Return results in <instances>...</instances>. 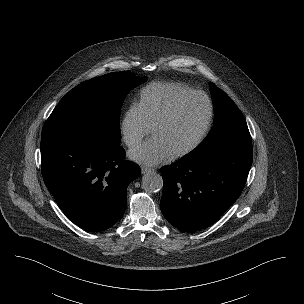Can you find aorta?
Returning a JSON list of instances; mask_svg holds the SVG:
<instances>
[{"mask_svg": "<svg viewBox=\"0 0 304 304\" xmlns=\"http://www.w3.org/2000/svg\"><path fill=\"white\" fill-rule=\"evenodd\" d=\"M142 186L147 192H158L163 188L162 176L154 171L148 172L142 177Z\"/></svg>", "mask_w": 304, "mask_h": 304, "instance_id": "762f6f07", "label": "aorta"}]
</instances>
